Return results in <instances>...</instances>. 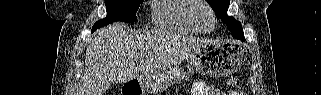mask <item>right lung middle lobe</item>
<instances>
[{"label": "right lung middle lobe", "mask_w": 321, "mask_h": 95, "mask_svg": "<svg viewBox=\"0 0 321 95\" xmlns=\"http://www.w3.org/2000/svg\"><path fill=\"white\" fill-rule=\"evenodd\" d=\"M143 0H105L107 16L98 20L92 32L115 21L135 22L136 12Z\"/></svg>", "instance_id": "dd1d6c3e"}]
</instances>
